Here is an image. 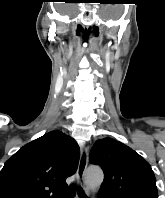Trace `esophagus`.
Wrapping results in <instances>:
<instances>
[{
  "label": "esophagus",
  "mask_w": 165,
  "mask_h": 198,
  "mask_svg": "<svg viewBox=\"0 0 165 198\" xmlns=\"http://www.w3.org/2000/svg\"><path fill=\"white\" fill-rule=\"evenodd\" d=\"M87 164H88L87 148L82 146L81 150H80V158H79L78 168H77V172H76V178H77L78 185L82 186L85 191L87 189L84 185V177H85Z\"/></svg>",
  "instance_id": "34e87169"
}]
</instances>
